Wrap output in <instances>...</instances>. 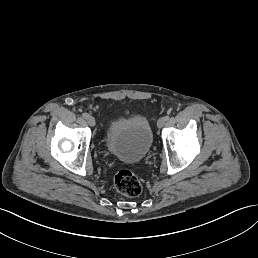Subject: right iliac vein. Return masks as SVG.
<instances>
[{
  "mask_svg": "<svg viewBox=\"0 0 258 258\" xmlns=\"http://www.w3.org/2000/svg\"><path fill=\"white\" fill-rule=\"evenodd\" d=\"M87 122H88V124L90 125V126H95V122H96V120H95V118L93 117V116H88L87 117Z\"/></svg>",
  "mask_w": 258,
  "mask_h": 258,
  "instance_id": "1",
  "label": "right iliac vein"
}]
</instances>
